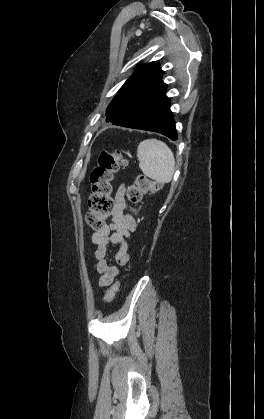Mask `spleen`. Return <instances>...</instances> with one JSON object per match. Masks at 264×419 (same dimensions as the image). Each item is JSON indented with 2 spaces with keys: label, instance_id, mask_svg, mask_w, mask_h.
Segmentation results:
<instances>
[{
  "label": "spleen",
  "instance_id": "1",
  "mask_svg": "<svg viewBox=\"0 0 264 419\" xmlns=\"http://www.w3.org/2000/svg\"><path fill=\"white\" fill-rule=\"evenodd\" d=\"M139 168L147 177L159 182L172 180L175 170V159L171 149L155 138L143 140L137 148Z\"/></svg>",
  "mask_w": 264,
  "mask_h": 419
}]
</instances>
